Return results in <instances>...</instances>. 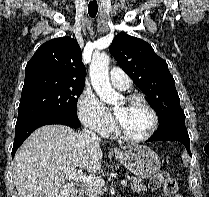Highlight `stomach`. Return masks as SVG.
Masks as SVG:
<instances>
[{
	"instance_id": "obj_1",
	"label": "stomach",
	"mask_w": 209,
	"mask_h": 197,
	"mask_svg": "<svg viewBox=\"0 0 209 197\" xmlns=\"http://www.w3.org/2000/svg\"><path fill=\"white\" fill-rule=\"evenodd\" d=\"M115 157L133 174L140 178H150L161 167L159 156L147 146H131L115 153Z\"/></svg>"
}]
</instances>
